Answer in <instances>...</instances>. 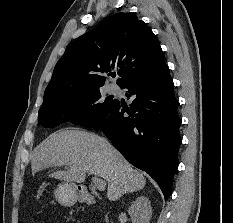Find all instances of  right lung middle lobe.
<instances>
[{
	"mask_svg": "<svg viewBox=\"0 0 233 223\" xmlns=\"http://www.w3.org/2000/svg\"><path fill=\"white\" fill-rule=\"evenodd\" d=\"M115 103L116 100L108 98L101 100L100 88H95L42 105L38 120L43 127H55L67 121L85 126Z\"/></svg>",
	"mask_w": 233,
	"mask_h": 223,
	"instance_id": "1",
	"label": "right lung middle lobe"
}]
</instances>
